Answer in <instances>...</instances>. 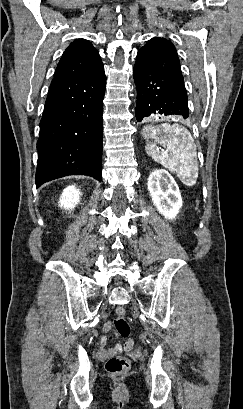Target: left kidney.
<instances>
[{
	"instance_id": "5707ae66",
	"label": "left kidney",
	"mask_w": 243,
	"mask_h": 409,
	"mask_svg": "<svg viewBox=\"0 0 243 409\" xmlns=\"http://www.w3.org/2000/svg\"><path fill=\"white\" fill-rule=\"evenodd\" d=\"M147 186L159 213L166 219H175L182 207V198L171 174L163 169L155 170L150 174Z\"/></svg>"
}]
</instances>
